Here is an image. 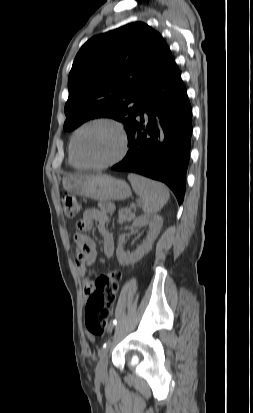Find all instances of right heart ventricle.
I'll use <instances>...</instances> for the list:
<instances>
[{"label": "right heart ventricle", "mask_w": 253, "mask_h": 413, "mask_svg": "<svg viewBox=\"0 0 253 413\" xmlns=\"http://www.w3.org/2000/svg\"><path fill=\"white\" fill-rule=\"evenodd\" d=\"M69 163L71 166H73L74 168H79V166L75 163V161L73 160L71 153L69 151Z\"/></svg>", "instance_id": "e07e8e85"}]
</instances>
